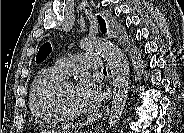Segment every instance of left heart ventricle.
I'll list each match as a JSON object with an SVG mask.
<instances>
[{
  "label": "left heart ventricle",
  "instance_id": "left-heart-ventricle-1",
  "mask_svg": "<svg viewBox=\"0 0 184 133\" xmlns=\"http://www.w3.org/2000/svg\"><path fill=\"white\" fill-rule=\"evenodd\" d=\"M74 91L75 88L72 84L63 85L62 96L64 104L67 110L74 114L80 116L82 111L77 107L75 99H74Z\"/></svg>",
  "mask_w": 184,
  "mask_h": 133
}]
</instances>
